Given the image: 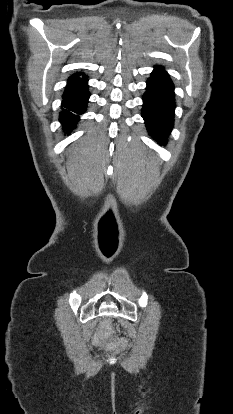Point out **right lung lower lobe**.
<instances>
[{"mask_svg":"<svg viewBox=\"0 0 233 414\" xmlns=\"http://www.w3.org/2000/svg\"><path fill=\"white\" fill-rule=\"evenodd\" d=\"M87 77L76 73L69 77L67 86L62 96L59 121L64 129L70 133L79 121V115L85 112L89 99Z\"/></svg>","mask_w":233,"mask_h":414,"instance_id":"1","label":"right lung lower lobe"}]
</instances>
